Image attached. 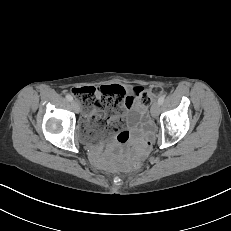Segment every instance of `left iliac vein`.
I'll list each match as a JSON object with an SVG mask.
<instances>
[{"label": "left iliac vein", "mask_w": 231, "mask_h": 231, "mask_svg": "<svg viewBox=\"0 0 231 231\" xmlns=\"http://www.w3.org/2000/svg\"><path fill=\"white\" fill-rule=\"evenodd\" d=\"M160 113V104L158 102L154 103L151 107V115L157 117Z\"/></svg>", "instance_id": "4c4485c4"}]
</instances>
